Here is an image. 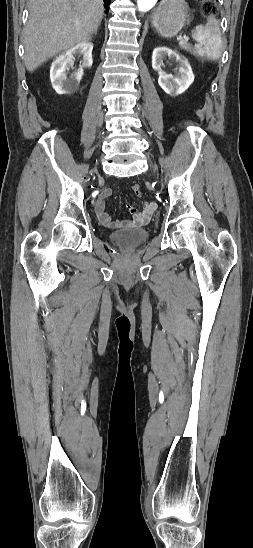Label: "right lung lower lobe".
<instances>
[{
    "mask_svg": "<svg viewBox=\"0 0 253 548\" xmlns=\"http://www.w3.org/2000/svg\"><path fill=\"white\" fill-rule=\"evenodd\" d=\"M103 1H104L105 5H106V7H107V9H108L110 0H103Z\"/></svg>",
    "mask_w": 253,
    "mask_h": 548,
    "instance_id": "obj_1",
    "label": "right lung lower lobe"
}]
</instances>
